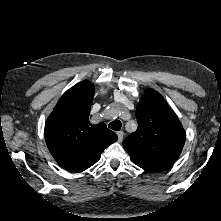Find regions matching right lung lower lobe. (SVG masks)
<instances>
[{
    "label": "right lung lower lobe",
    "mask_w": 221,
    "mask_h": 221,
    "mask_svg": "<svg viewBox=\"0 0 221 221\" xmlns=\"http://www.w3.org/2000/svg\"><path fill=\"white\" fill-rule=\"evenodd\" d=\"M93 165V164H92ZM92 165H88V166H85V167H81V168H77L75 170H73L72 172H81V171H84L86 170L87 168H89L90 166Z\"/></svg>",
    "instance_id": "obj_1"
}]
</instances>
